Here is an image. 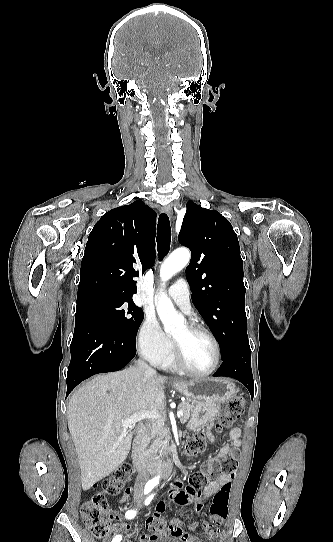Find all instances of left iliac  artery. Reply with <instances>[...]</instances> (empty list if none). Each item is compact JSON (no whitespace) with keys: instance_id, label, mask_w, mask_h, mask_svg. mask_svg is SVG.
Segmentation results:
<instances>
[{"instance_id":"1","label":"left iliac artery","mask_w":333,"mask_h":542,"mask_svg":"<svg viewBox=\"0 0 333 542\" xmlns=\"http://www.w3.org/2000/svg\"><path fill=\"white\" fill-rule=\"evenodd\" d=\"M154 495L152 494L151 496H149V498L146 500V505H148L150 503V501L153 499Z\"/></svg>"}]
</instances>
